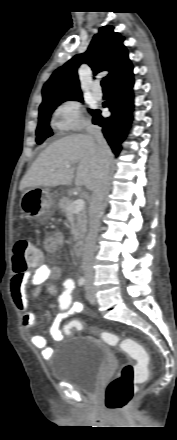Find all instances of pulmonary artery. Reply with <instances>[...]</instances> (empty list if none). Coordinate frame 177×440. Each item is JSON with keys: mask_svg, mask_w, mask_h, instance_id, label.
I'll use <instances>...</instances> for the list:
<instances>
[{"mask_svg": "<svg viewBox=\"0 0 177 440\" xmlns=\"http://www.w3.org/2000/svg\"><path fill=\"white\" fill-rule=\"evenodd\" d=\"M92 95L96 100H100L103 97L102 92L98 89V87L94 88L92 91Z\"/></svg>", "mask_w": 177, "mask_h": 440, "instance_id": "pulmonary-artery-1", "label": "pulmonary artery"}]
</instances>
